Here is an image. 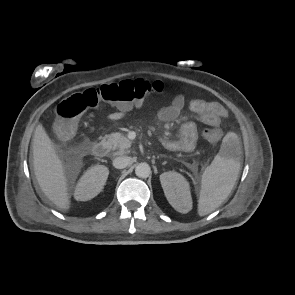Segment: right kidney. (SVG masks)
I'll return each instance as SVG.
<instances>
[{
	"label": "right kidney",
	"mask_w": 295,
	"mask_h": 295,
	"mask_svg": "<svg viewBox=\"0 0 295 295\" xmlns=\"http://www.w3.org/2000/svg\"><path fill=\"white\" fill-rule=\"evenodd\" d=\"M108 175L109 170L106 166L95 165L89 168L76 185L75 199L87 201L97 196L102 191Z\"/></svg>",
	"instance_id": "ca27d5eb"
}]
</instances>
